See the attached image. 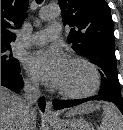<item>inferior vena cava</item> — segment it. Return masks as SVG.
Wrapping results in <instances>:
<instances>
[{
	"instance_id": "obj_1",
	"label": "inferior vena cava",
	"mask_w": 123,
	"mask_h": 130,
	"mask_svg": "<svg viewBox=\"0 0 123 130\" xmlns=\"http://www.w3.org/2000/svg\"><path fill=\"white\" fill-rule=\"evenodd\" d=\"M24 106L21 114V126L19 130H30L31 112L34 110L33 104L41 95L39 85L36 83L26 82L24 85Z\"/></svg>"
}]
</instances>
